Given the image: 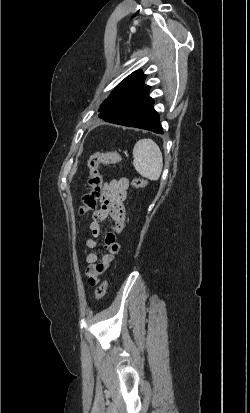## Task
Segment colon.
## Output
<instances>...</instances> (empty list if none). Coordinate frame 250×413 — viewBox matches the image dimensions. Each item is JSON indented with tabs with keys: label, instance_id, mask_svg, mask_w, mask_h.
I'll return each mask as SVG.
<instances>
[{
	"label": "colon",
	"instance_id": "colon-1",
	"mask_svg": "<svg viewBox=\"0 0 250 413\" xmlns=\"http://www.w3.org/2000/svg\"><path fill=\"white\" fill-rule=\"evenodd\" d=\"M122 157L118 153H95L88 161L89 179L88 184L90 191L83 196L82 206L80 208L81 214L95 209L98 201L103 195V177L99 171L101 164H116L121 163ZM131 185L134 188H143L147 185V181L142 178H135ZM108 286L107 280H104L95 291V298L100 300L106 293Z\"/></svg>",
	"mask_w": 250,
	"mask_h": 413
}]
</instances>
